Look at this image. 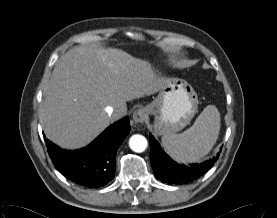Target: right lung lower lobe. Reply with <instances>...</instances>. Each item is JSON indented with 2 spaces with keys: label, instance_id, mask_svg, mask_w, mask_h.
Segmentation results:
<instances>
[{
  "label": "right lung lower lobe",
  "instance_id": "right-lung-lower-lobe-1",
  "mask_svg": "<svg viewBox=\"0 0 277 218\" xmlns=\"http://www.w3.org/2000/svg\"><path fill=\"white\" fill-rule=\"evenodd\" d=\"M130 132L128 117L109 126L86 148L77 151L60 150L49 140V155L65 177L89 188L106 185L115 176L116 153Z\"/></svg>",
  "mask_w": 277,
  "mask_h": 218
}]
</instances>
